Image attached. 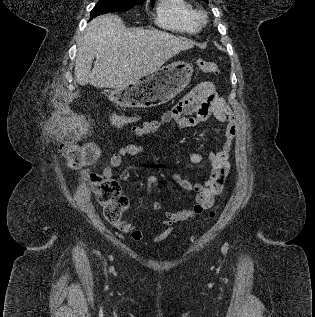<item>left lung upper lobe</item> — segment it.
I'll use <instances>...</instances> for the list:
<instances>
[{
    "instance_id": "5c2ea615",
    "label": "left lung upper lobe",
    "mask_w": 315,
    "mask_h": 317,
    "mask_svg": "<svg viewBox=\"0 0 315 317\" xmlns=\"http://www.w3.org/2000/svg\"><path fill=\"white\" fill-rule=\"evenodd\" d=\"M204 2L208 3V0H203Z\"/></svg>"
}]
</instances>
